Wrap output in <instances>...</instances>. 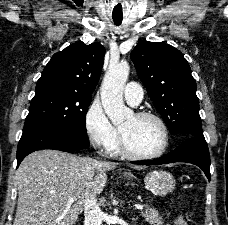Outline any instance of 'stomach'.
<instances>
[{
	"label": "stomach",
	"instance_id": "0dacf381",
	"mask_svg": "<svg viewBox=\"0 0 228 225\" xmlns=\"http://www.w3.org/2000/svg\"><path fill=\"white\" fill-rule=\"evenodd\" d=\"M144 183L147 191L153 195H159V197H165L167 193H172L176 185L173 175L167 171H152L145 177Z\"/></svg>",
	"mask_w": 228,
	"mask_h": 225
}]
</instances>
